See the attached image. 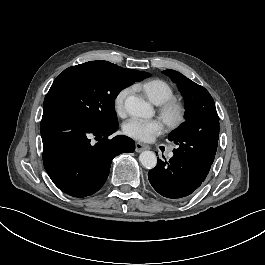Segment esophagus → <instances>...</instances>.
<instances>
[{
	"mask_svg": "<svg viewBox=\"0 0 265 265\" xmlns=\"http://www.w3.org/2000/svg\"><path fill=\"white\" fill-rule=\"evenodd\" d=\"M147 149H150V146L147 145V144H144V143H140V142H137L135 144V151L136 152H142L143 150H147Z\"/></svg>",
	"mask_w": 265,
	"mask_h": 265,
	"instance_id": "esophagus-1",
	"label": "esophagus"
}]
</instances>
